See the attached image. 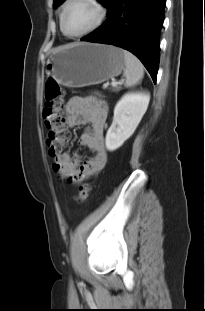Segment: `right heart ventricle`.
I'll list each match as a JSON object with an SVG mask.
<instances>
[{"label": "right heart ventricle", "instance_id": "obj_1", "mask_svg": "<svg viewBox=\"0 0 205 311\" xmlns=\"http://www.w3.org/2000/svg\"><path fill=\"white\" fill-rule=\"evenodd\" d=\"M62 7H63V6H62ZM61 13H62V9H61L60 16H59L60 20H61Z\"/></svg>", "mask_w": 205, "mask_h": 311}]
</instances>
